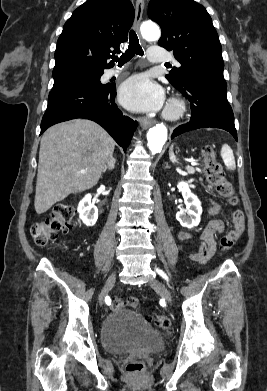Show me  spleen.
<instances>
[{
  "instance_id": "3e777b00",
  "label": "spleen",
  "mask_w": 267,
  "mask_h": 391,
  "mask_svg": "<svg viewBox=\"0 0 267 391\" xmlns=\"http://www.w3.org/2000/svg\"><path fill=\"white\" fill-rule=\"evenodd\" d=\"M169 157L173 163L176 162V156L173 152V147L170 148ZM221 157H222L224 164L228 170H232V171L235 170V168H236L235 158L233 155V151L228 144H223V146L221 148Z\"/></svg>"
}]
</instances>
